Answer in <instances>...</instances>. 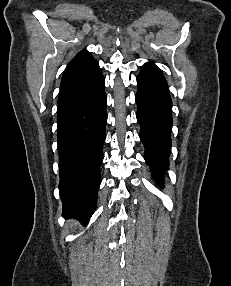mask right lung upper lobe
Segmentation results:
<instances>
[{
    "label": "right lung upper lobe",
    "mask_w": 231,
    "mask_h": 286,
    "mask_svg": "<svg viewBox=\"0 0 231 286\" xmlns=\"http://www.w3.org/2000/svg\"><path fill=\"white\" fill-rule=\"evenodd\" d=\"M100 69L98 62L87 50L80 51L67 66L62 77L63 82H72L82 76H88Z\"/></svg>",
    "instance_id": "right-lung-upper-lobe-1"
}]
</instances>
